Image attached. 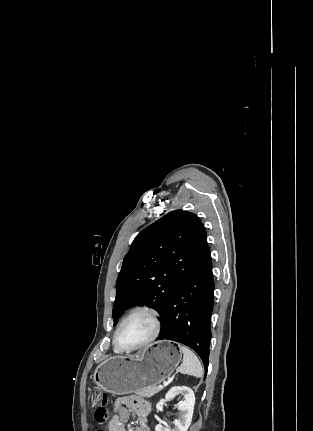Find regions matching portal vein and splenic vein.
<instances>
[{
  "label": "portal vein and splenic vein",
  "mask_w": 313,
  "mask_h": 431,
  "mask_svg": "<svg viewBox=\"0 0 313 431\" xmlns=\"http://www.w3.org/2000/svg\"><path fill=\"white\" fill-rule=\"evenodd\" d=\"M158 388H159V389H163V388H164V385H159V386H158Z\"/></svg>",
  "instance_id": "obj_1"
}]
</instances>
